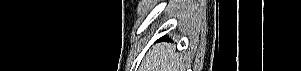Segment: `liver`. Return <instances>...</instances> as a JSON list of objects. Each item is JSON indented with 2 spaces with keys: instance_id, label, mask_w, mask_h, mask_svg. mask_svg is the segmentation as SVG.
<instances>
[{
  "instance_id": "obj_1",
  "label": "liver",
  "mask_w": 301,
  "mask_h": 71,
  "mask_svg": "<svg viewBox=\"0 0 301 71\" xmlns=\"http://www.w3.org/2000/svg\"><path fill=\"white\" fill-rule=\"evenodd\" d=\"M139 71H182V61L175 46L157 44L144 58Z\"/></svg>"
}]
</instances>
